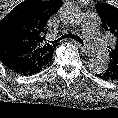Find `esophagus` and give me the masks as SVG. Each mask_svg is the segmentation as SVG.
<instances>
[{
  "label": "esophagus",
  "instance_id": "obj_1",
  "mask_svg": "<svg viewBox=\"0 0 118 118\" xmlns=\"http://www.w3.org/2000/svg\"><path fill=\"white\" fill-rule=\"evenodd\" d=\"M79 46H80L81 50H82L85 54H87V55H91V54H92V51H91L88 47H86V46H84V45H80V44H79Z\"/></svg>",
  "mask_w": 118,
  "mask_h": 118
}]
</instances>
